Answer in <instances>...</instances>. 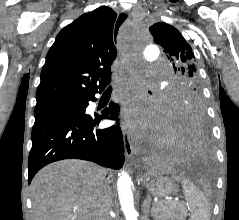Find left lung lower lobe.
<instances>
[{"label": "left lung lower lobe", "instance_id": "0a47b994", "mask_svg": "<svg viewBox=\"0 0 239 220\" xmlns=\"http://www.w3.org/2000/svg\"><path fill=\"white\" fill-rule=\"evenodd\" d=\"M173 145L170 161L200 165L212 157L209 128L202 108L170 113Z\"/></svg>", "mask_w": 239, "mask_h": 220}]
</instances>
